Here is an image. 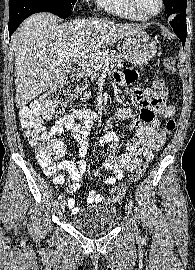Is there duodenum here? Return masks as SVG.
<instances>
[{"mask_svg": "<svg viewBox=\"0 0 195 270\" xmlns=\"http://www.w3.org/2000/svg\"><path fill=\"white\" fill-rule=\"evenodd\" d=\"M83 72H84V66L83 65H80L79 68H78L79 75H82Z\"/></svg>", "mask_w": 195, "mask_h": 270, "instance_id": "obj_1", "label": "duodenum"}]
</instances>
